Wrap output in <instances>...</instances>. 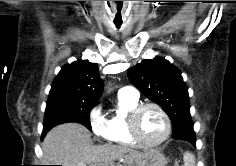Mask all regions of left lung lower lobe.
Instances as JSON below:
<instances>
[{"instance_id":"0a47b994","label":"left lung lower lobe","mask_w":236,"mask_h":166,"mask_svg":"<svg viewBox=\"0 0 236 166\" xmlns=\"http://www.w3.org/2000/svg\"><path fill=\"white\" fill-rule=\"evenodd\" d=\"M172 138L186 140L191 142L193 145L196 144V137L193 128L182 122H174Z\"/></svg>"}]
</instances>
